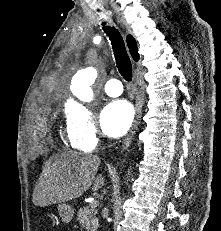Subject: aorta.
<instances>
[{
	"mask_svg": "<svg viewBox=\"0 0 221 231\" xmlns=\"http://www.w3.org/2000/svg\"><path fill=\"white\" fill-rule=\"evenodd\" d=\"M96 78L97 71L93 67L77 72L71 82L72 93L81 101H92L93 91L90 86L95 82Z\"/></svg>",
	"mask_w": 221,
	"mask_h": 231,
	"instance_id": "762f6f07",
	"label": "aorta"
}]
</instances>
